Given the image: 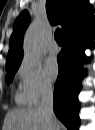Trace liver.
I'll list each match as a JSON object with an SVG mask.
<instances>
[{
    "instance_id": "6515ba94",
    "label": "liver",
    "mask_w": 95,
    "mask_h": 130,
    "mask_svg": "<svg viewBox=\"0 0 95 130\" xmlns=\"http://www.w3.org/2000/svg\"><path fill=\"white\" fill-rule=\"evenodd\" d=\"M3 130H60V123L52 125L38 107L9 110L5 116Z\"/></svg>"
}]
</instances>
